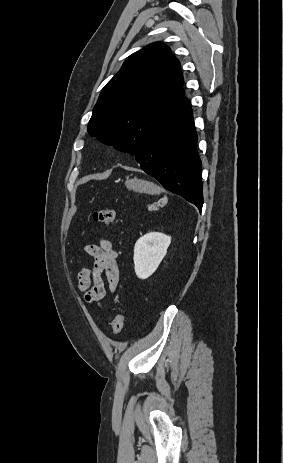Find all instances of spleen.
Wrapping results in <instances>:
<instances>
[{"mask_svg": "<svg viewBox=\"0 0 283 463\" xmlns=\"http://www.w3.org/2000/svg\"><path fill=\"white\" fill-rule=\"evenodd\" d=\"M162 202H165L167 201V197H164L163 199H161Z\"/></svg>", "mask_w": 283, "mask_h": 463, "instance_id": "spleen-1", "label": "spleen"}]
</instances>
